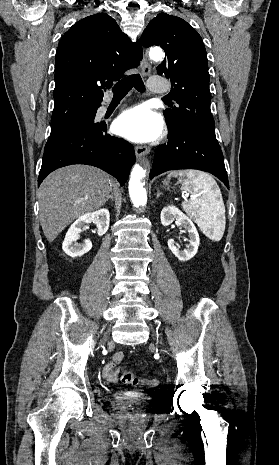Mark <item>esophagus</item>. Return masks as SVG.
<instances>
[{"mask_svg": "<svg viewBox=\"0 0 279 465\" xmlns=\"http://www.w3.org/2000/svg\"><path fill=\"white\" fill-rule=\"evenodd\" d=\"M141 72L143 76H148L151 72L150 64L147 61V58L144 56L141 61ZM150 153V148L147 146H136L135 154L138 159H141L143 156Z\"/></svg>", "mask_w": 279, "mask_h": 465, "instance_id": "obj_1", "label": "esophagus"}]
</instances>
